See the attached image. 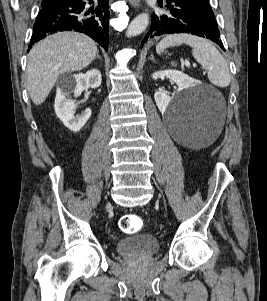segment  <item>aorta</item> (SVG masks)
Returning a JSON list of instances; mask_svg holds the SVG:
<instances>
[{"label":"aorta","mask_w":267,"mask_h":301,"mask_svg":"<svg viewBox=\"0 0 267 301\" xmlns=\"http://www.w3.org/2000/svg\"><path fill=\"white\" fill-rule=\"evenodd\" d=\"M149 24V15L148 13H141L138 16H136L131 23L129 24L127 31H126V36L127 37H134L142 32L145 31Z\"/></svg>","instance_id":"obj_1"}]
</instances>
